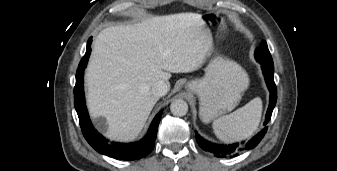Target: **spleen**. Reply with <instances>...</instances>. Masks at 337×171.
<instances>
[{
    "label": "spleen",
    "mask_w": 337,
    "mask_h": 171,
    "mask_svg": "<svg viewBox=\"0 0 337 171\" xmlns=\"http://www.w3.org/2000/svg\"><path fill=\"white\" fill-rule=\"evenodd\" d=\"M261 115L262 100L256 97L229 115L216 119L213 122L214 133L225 143L244 140L256 131Z\"/></svg>",
    "instance_id": "spleen-1"
}]
</instances>
